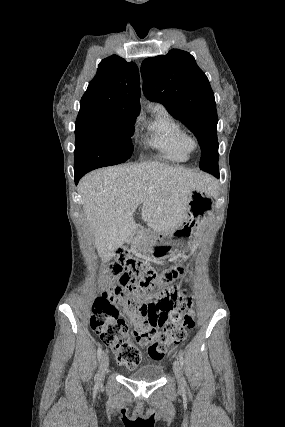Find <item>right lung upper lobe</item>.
Instances as JSON below:
<instances>
[{"label":"right lung upper lobe","instance_id":"obj_1","mask_svg":"<svg viewBox=\"0 0 285 427\" xmlns=\"http://www.w3.org/2000/svg\"><path fill=\"white\" fill-rule=\"evenodd\" d=\"M139 70L112 55L103 59L80 101L76 123L136 118L140 112Z\"/></svg>","mask_w":285,"mask_h":427}]
</instances>
